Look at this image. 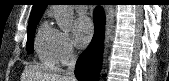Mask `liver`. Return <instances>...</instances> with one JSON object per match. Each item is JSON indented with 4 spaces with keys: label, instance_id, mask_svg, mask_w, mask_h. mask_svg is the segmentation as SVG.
I'll use <instances>...</instances> for the list:
<instances>
[{
    "label": "liver",
    "instance_id": "6515ba94",
    "mask_svg": "<svg viewBox=\"0 0 169 81\" xmlns=\"http://www.w3.org/2000/svg\"><path fill=\"white\" fill-rule=\"evenodd\" d=\"M22 81H74L60 68H41L36 66H27L24 70Z\"/></svg>",
    "mask_w": 169,
    "mask_h": 81
}]
</instances>
